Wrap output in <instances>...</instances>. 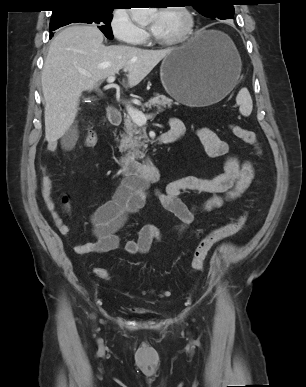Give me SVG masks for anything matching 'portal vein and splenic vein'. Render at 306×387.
I'll return each mask as SVG.
<instances>
[{"label":"portal vein and splenic vein","instance_id":"18ae733b","mask_svg":"<svg viewBox=\"0 0 306 387\" xmlns=\"http://www.w3.org/2000/svg\"><path fill=\"white\" fill-rule=\"evenodd\" d=\"M114 81H115V76H110L107 78V82L109 84L113 83ZM126 109L132 121L139 126L145 125L147 122V119L152 117V115L143 114L142 112L133 108L131 105H127Z\"/></svg>","mask_w":306,"mask_h":387}]
</instances>
